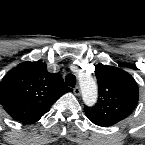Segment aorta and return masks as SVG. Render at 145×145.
Wrapping results in <instances>:
<instances>
[{
	"instance_id": "1",
	"label": "aorta",
	"mask_w": 145,
	"mask_h": 145,
	"mask_svg": "<svg viewBox=\"0 0 145 145\" xmlns=\"http://www.w3.org/2000/svg\"><path fill=\"white\" fill-rule=\"evenodd\" d=\"M82 98L86 105H93L97 100V84L93 77L85 76L80 78Z\"/></svg>"
}]
</instances>
